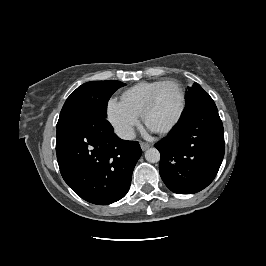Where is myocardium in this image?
I'll use <instances>...</instances> for the list:
<instances>
[{"label": "myocardium", "mask_w": 266, "mask_h": 266, "mask_svg": "<svg viewBox=\"0 0 266 266\" xmlns=\"http://www.w3.org/2000/svg\"><path fill=\"white\" fill-rule=\"evenodd\" d=\"M169 84H174V85L177 86L178 91H179V96H180V102H179V107L177 109V112H176L174 118L171 120V122L168 125H166L164 128H162V129L154 130L157 133H161V134L168 133L169 131H171L175 127V125L178 123V121L180 120V118L182 116V113L184 111L185 104H186L185 90H184L182 84L179 81L174 80V79L163 81L152 92V94L150 95L149 99L147 100L145 106L143 107V110H142V113H141L142 120L147 125V115H148L150 109L152 108V106H153V104H154L159 92L161 91V89L164 86L169 85Z\"/></svg>", "instance_id": "f54148a6"}]
</instances>
